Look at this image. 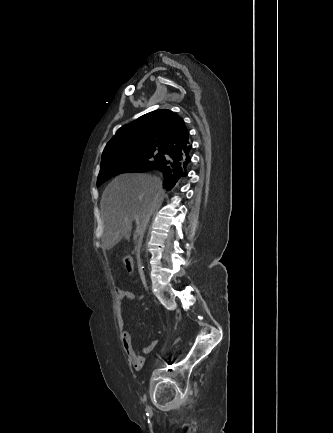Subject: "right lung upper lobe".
Here are the masks:
<instances>
[{
	"label": "right lung upper lobe",
	"mask_w": 333,
	"mask_h": 433,
	"mask_svg": "<svg viewBox=\"0 0 333 433\" xmlns=\"http://www.w3.org/2000/svg\"><path fill=\"white\" fill-rule=\"evenodd\" d=\"M189 144L183 119L171 110L160 109L119 128L107 143L102 159L126 149L155 148L167 153Z\"/></svg>",
	"instance_id": "right-lung-upper-lobe-1"
}]
</instances>
